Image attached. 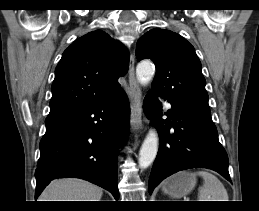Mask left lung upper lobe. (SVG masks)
Returning a JSON list of instances; mask_svg holds the SVG:
<instances>
[{
  "label": "left lung upper lobe",
  "instance_id": "left-lung-upper-lobe-1",
  "mask_svg": "<svg viewBox=\"0 0 259 211\" xmlns=\"http://www.w3.org/2000/svg\"><path fill=\"white\" fill-rule=\"evenodd\" d=\"M136 57L149 58L156 66L153 92L175 103L210 111L201 63L193 46L182 36L152 29L138 40Z\"/></svg>",
  "mask_w": 259,
  "mask_h": 211
}]
</instances>
